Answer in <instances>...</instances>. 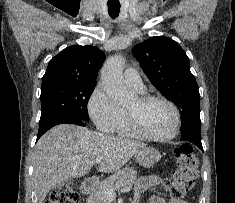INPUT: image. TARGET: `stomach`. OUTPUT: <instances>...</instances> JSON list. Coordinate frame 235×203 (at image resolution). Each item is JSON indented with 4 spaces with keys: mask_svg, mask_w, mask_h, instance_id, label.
Wrapping results in <instances>:
<instances>
[{
    "mask_svg": "<svg viewBox=\"0 0 235 203\" xmlns=\"http://www.w3.org/2000/svg\"><path fill=\"white\" fill-rule=\"evenodd\" d=\"M136 159L141 166L152 167L161 159V154L154 148L144 147L136 152Z\"/></svg>",
    "mask_w": 235,
    "mask_h": 203,
    "instance_id": "0dacf381",
    "label": "stomach"
}]
</instances>
